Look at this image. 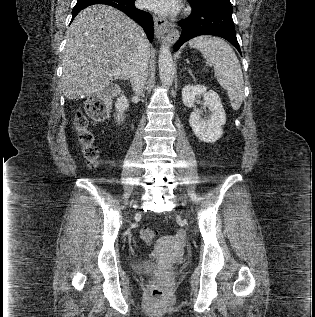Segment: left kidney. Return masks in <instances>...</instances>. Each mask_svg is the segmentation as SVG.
Returning a JSON list of instances; mask_svg holds the SVG:
<instances>
[{"mask_svg": "<svg viewBox=\"0 0 315 317\" xmlns=\"http://www.w3.org/2000/svg\"><path fill=\"white\" fill-rule=\"evenodd\" d=\"M202 95L204 104L212 112L210 119L201 117L202 111L194 110L189 118L194 134L203 142L214 143L223 134L222 126L226 123V114L219 95L213 90H207L204 85H186L182 89V100L186 107H193L196 97Z\"/></svg>", "mask_w": 315, "mask_h": 317, "instance_id": "left-kidney-1", "label": "left kidney"}]
</instances>
